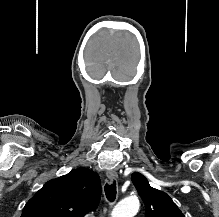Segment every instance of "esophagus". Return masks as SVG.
Instances as JSON below:
<instances>
[{
    "label": "esophagus",
    "instance_id": "esophagus-1",
    "mask_svg": "<svg viewBox=\"0 0 219 217\" xmlns=\"http://www.w3.org/2000/svg\"><path fill=\"white\" fill-rule=\"evenodd\" d=\"M106 176H107V180L109 182H113L117 178V173L115 170H109V171H107Z\"/></svg>",
    "mask_w": 219,
    "mask_h": 217
}]
</instances>
